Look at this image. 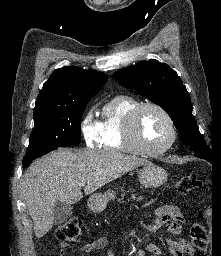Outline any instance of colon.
<instances>
[{"label":"colon","mask_w":221,"mask_h":256,"mask_svg":"<svg viewBox=\"0 0 221 256\" xmlns=\"http://www.w3.org/2000/svg\"><path fill=\"white\" fill-rule=\"evenodd\" d=\"M202 181L195 176H184L177 183V190L181 194H189L199 189ZM82 222L77 217H71L56 227L55 237L64 245L78 243L82 235ZM192 241L191 256H208V237L205 228L200 223H195L190 229Z\"/></svg>","instance_id":"obj_1"}]
</instances>
